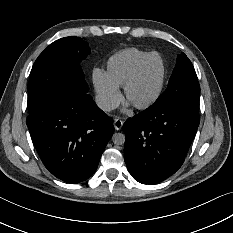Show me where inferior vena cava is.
Instances as JSON below:
<instances>
[{
    "instance_id": "602c4592",
    "label": "inferior vena cava",
    "mask_w": 233,
    "mask_h": 233,
    "mask_svg": "<svg viewBox=\"0 0 233 233\" xmlns=\"http://www.w3.org/2000/svg\"><path fill=\"white\" fill-rule=\"evenodd\" d=\"M96 103L100 109L106 112H110L119 106L117 101H112L107 98H98L96 99Z\"/></svg>"
}]
</instances>
